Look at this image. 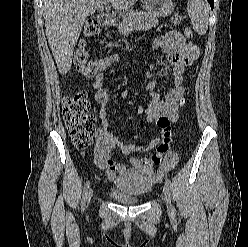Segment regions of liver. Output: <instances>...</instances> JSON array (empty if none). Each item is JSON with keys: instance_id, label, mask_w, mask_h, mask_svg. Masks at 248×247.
I'll return each mask as SVG.
<instances>
[{"instance_id": "liver-1", "label": "liver", "mask_w": 248, "mask_h": 247, "mask_svg": "<svg viewBox=\"0 0 248 247\" xmlns=\"http://www.w3.org/2000/svg\"><path fill=\"white\" fill-rule=\"evenodd\" d=\"M138 0H43L45 33L60 74L71 68L74 47L89 15L101 10L105 3L124 11Z\"/></svg>"}]
</instances>
